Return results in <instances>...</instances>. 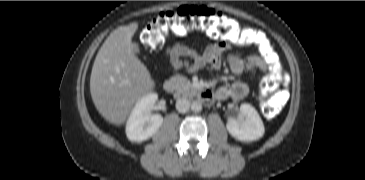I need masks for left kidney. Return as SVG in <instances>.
Returning a JSON list of instances; mask_svg holds the SVG:
<instances>
[{"instance_id": "left-kidney-1", "label": "left kidney", "mask_w": 365, "mask_h": 180, "mask_svg": "<svg viewBox=\"0 0 365 180\" xmlns=\"http://www.w3.org/2000/svg\"><path fill=\"white\" fill-rule=\"evenodd\" d=\"M240 115L245 120L230 119L226 128L228 132L240 141L250 142L260 139L265 132L263 122L253 106L242 104Z\"/></svg>"}]
</instances>
